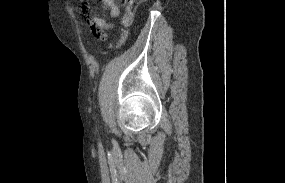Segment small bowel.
<instances>
[{
  "instance_id": "small-bowel-1",
  "label": "small bowel",
  "mask_w": 285,
  "mask_h": 183,
  "mask_svg": "<svg viewBox=\"0 0 285 183\" xmlns=\"http://www.w3.org/2000/svg\"><path fill=\"white\" fill-rule=\"evenodd\" d=\"M91 0H88L90 2ZM103 6L108 9L111 19H116L120 15V7L115 0H101ZM85 23L89 27L90 34L96 41H104L107 37L106 32L112 28V24L105 18L89 13L86 8L83 11Z\"/></svg>"
}]
</instances>
